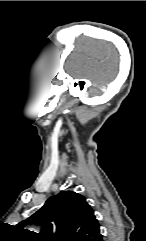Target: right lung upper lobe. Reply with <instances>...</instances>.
<instances>
[{
  "mask_svg": "<svg viewBox=\"0 0 146 241\" xmlns=\"http://www.w3.org/2000/svg\"><path fill=\"white\" fill-rule=\"evenodd\" d=\"M22 224H40L41 232L30 234L36 241H101L99 223L84 196L63 191Z\"/></svg>",
  "mask_w": 146,
  "mask_h": 241,
  "instance_id": "obj_1",
  "label": "right lung upper lobe"
}]
</instances>
